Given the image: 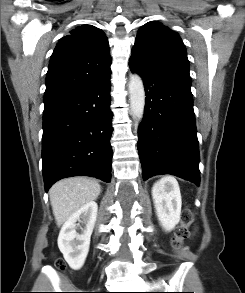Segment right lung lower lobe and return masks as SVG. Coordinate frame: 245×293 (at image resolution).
Here are the masks:
<instances>
[{
  "label": "right lung lower lobe",
  "instance_id": "1",
  "mask_svg": "<svg viewBox=\"0 0 245 293\" xmlns=\"http://www.w3.org/2000/svg\"><path fill=\"white\" fill-rule=\"evenodd\" d=\"M110 76L45 105L42 159L46 191L56 181L73 176L110 182Z\"/></svg>",
  "mask_w": 245,
  "mask_h": 293
}]
</instances>
